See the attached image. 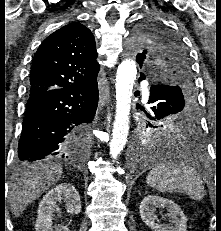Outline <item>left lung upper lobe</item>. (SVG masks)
<instances>
[{
	"instance_id": "1",
	"label": "left lung upper lobe",
	"mask_w": 221,
	"mask_h": 231,
	"mask_svg": "<svg viewBox=\"0 0 221 231\" xmlns=\"http://www.w3.org/2000/svg\"><path fill=\"white\" fill-rule=\"evenodd\" d=\"M136 62L166 90L161 101L149 104L152 120L178 114L195 102L190 57L181 41L159 25L147 24L135 32ZM141 77L145 75L141 73Z\"/></svg>"
}]
</instances>
